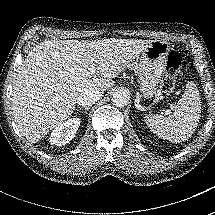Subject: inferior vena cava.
<instances>
[{"instance_id":"602c4592","label":"inferior vena cava","mask_w":215,"mask_h":215,"mask_svg":"<svg viewBox=\"0 0 215 215\" xmlns=\"http://www.w3.org/2000/svg\"><path fill=\"white\" fill-rule=\"evenodd\" d=\"M103 91L84 92L77 97V104L82 107H89L103 96Z\"/></svg>"}]
</instances>
